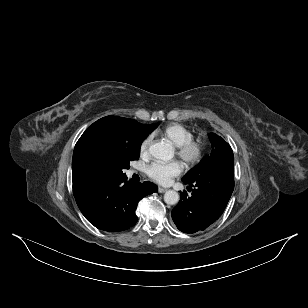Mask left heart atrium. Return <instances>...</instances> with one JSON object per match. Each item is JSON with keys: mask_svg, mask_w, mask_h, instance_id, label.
<instances>
[{"mask_svg": "<svg viewBox=\"0 0 308 308\" xmlns=\"http://www.w3.org/2000/svg\"><path fill=\"white\" fill-rule=\"evenodd\" d=\"M183 171V165L179 161L169 163L154 162L147 167L148 176L159 184L166 185L174 177L180 175Z\"/></svg>", "mask_w": 308, "mask_h": 308, "instance_id": "obj_1", "label": "left heart atrium"}]
</instances>
